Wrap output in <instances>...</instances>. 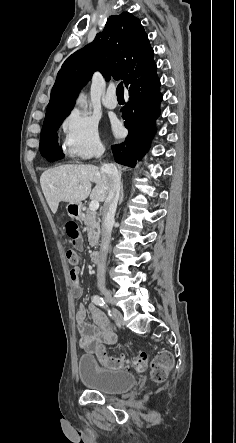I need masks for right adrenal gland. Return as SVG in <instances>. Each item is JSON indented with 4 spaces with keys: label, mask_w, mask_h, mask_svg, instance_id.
<instances>
[{
    "label": "right adrenal gland",
    "mask_w": 236,
    "mask_h": 443,
    "mask_svg": "<svg viewBox=\"0 0 236 443\" xmlns=\"http://www.w3.org/2000/svg\"><path fill=\"white\" fill-rule=\"evenodd\" d=\"M124 197V191H123V182L121 183V191H120V197H119V205L123 202Z\"/></svg>",
    "instance_id": "1"
}]
</instances>
